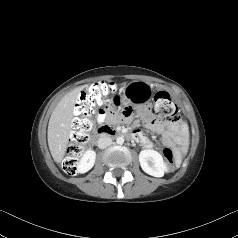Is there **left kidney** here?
Instances as JSON below:
<instances>
[{"label": "left kidney", "mask_w": 238, "mask_h": 238, "mask_svg": "<svg viewBox=\"0 0 238 238\" xmlns=\"http://www.w3.org/2000/svg\"><path fill=\"white\" fill-rule=\"evenodd\" d=\"M139 162L142 170L154 177H163L168 171L162 155L152 149L142 150L139 154Z\"/></svg>", "instance_id": "left-kidney-1"}]
</instances>
